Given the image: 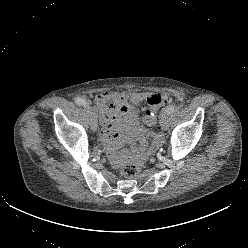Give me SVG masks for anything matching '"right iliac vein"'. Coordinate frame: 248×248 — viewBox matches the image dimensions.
Segmentation results:
<instances>
[{
  "label": "right iliac vein",
  "mask_w": 248,
  "mask_h": 248,
  "mask_svg": "<svg viewBox=\"0 0 248 248\" xmlns=\"http://www.w3.org/2000/svg\"><path fill=\"white\" fill-rule=\"evenodd\" d=\"M90 118H91V129L95 132L97 130L98 124H97V114L96 111L92 107H88Z\"/></svg>",
  "instance_id": "63e3f726"
}]
</instances>
